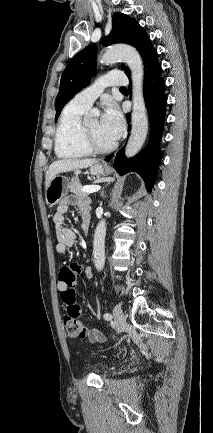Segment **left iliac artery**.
Segmentation results:
<instances>
[{"label":"left iliac artery","instance_id":"1","mask_svg":"<svg viewBox=\"0 0 213 433\" xmlns=\"http://www.w3.org/2000/svg\"><path fill=\"white\" fill-rule=\"evenodd\" d=\"M104 319L105 320H111L112 319V315L110 313H105L104 314Z\"/></svg>","mask_w":213,"mask_h":433}]
</instances>
